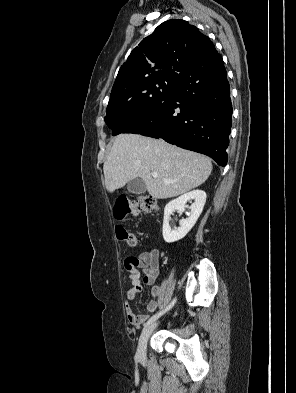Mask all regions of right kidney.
<instances>
[{
    "mask_svg": "<svg viewBox=\"0 0 296 393\" xmlns=\"http://www.w3.org/2000/svg\"><path fill=\"white\" fill-rule=\"evenodd\" d=\"M193 201L190 206V216L186 219L180 220V227L171 229L169 225L170 215L178 210L183 212L186 208V203ZM206 203V193L202 190H193L186 193L175 200L169 202L164 209L163 220V238L167 243L176 242L184 238L187 233L193 228L200 214L203 211Z\"/></svg>",
    "mask_w": 296,
    "mask_h": 393,
    "instance_id": "right-kidney-1",
    "label": "right kidney"
}]
</instances>
